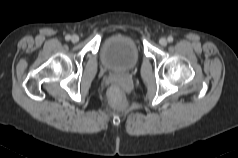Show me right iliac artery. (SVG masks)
Instances as JSON below:
<instances>
[{
	"label": "right iliac artery",
	"instance_id": "obj_1",
	"mask_svg": "<svg viewBox=\"0 0 238 158\" xmlns=\"http://www.w3.org/2000/svg\"><path fill=\"white\" fill-rule=\"evenodd\" d=\"M70 38H71L70 35H66V36H65V39H66L67 41L70 40Z\"/></svg>",
	"mask_w": 238,
	"mask_h": 158
}]
</instances>
